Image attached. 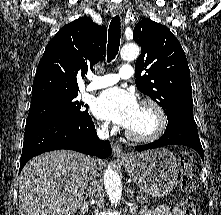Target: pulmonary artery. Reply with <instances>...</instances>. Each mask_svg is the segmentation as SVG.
Segmentation results:
<instances>
[{"label":"pulmonary artery","instance_id":"e3ab8cb5","mask_svg":"<svg viewBox=\"0 0 221 215\" xmlns=\"http://www.w3.org/2000/svg\"><path fill=\"white\" fill-rule=\"evenodd\" d=\"M133 75L132 66L126 64L120 67L117 74L92 76L91 83L86 86V91H94L116 84L120 79H129Z\"/></svg>","mask_w":221,"mask_h":215}]
</instances>
